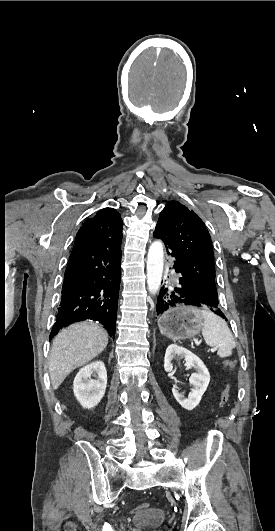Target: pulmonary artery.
<instances>
[{"label": "pulmonary artery", "mask_w": 275, "mask_h": 531, "mask_svg": "<svg viewBox=\"0 0 275 531\" xmlns=\"http://www.w3.org/2000/svg\"><path fill=\"white\" fill-rule=\"evenodd\" d=\"M172 271H175V268H172Z\"/></svg>", "instance_id": "obj_1"}]
</instances>
